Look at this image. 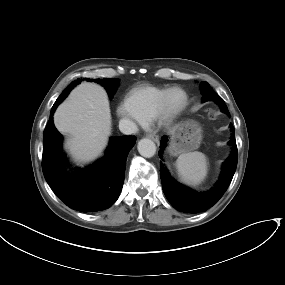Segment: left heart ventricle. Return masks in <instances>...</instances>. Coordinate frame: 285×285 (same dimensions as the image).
Returning <instances> with one entry per match:
<instances>
[{"label":"left heart ventricle","mask_w":285,"mask_h":285,"mask_svg":"<svg viewBox=\"0 0 285 285\" xmlns=\"http://www.w3.org/2000/svg\"><path fill=\"white\" fill-rule=\"evenodd\" d=\"M183 99V96L181 93L179 92H175L173 95H172V98H171V103L172 105L176 106V105H179L181 103Z\"/></svg>","instance_id":"obj_1"}]
</instances>
